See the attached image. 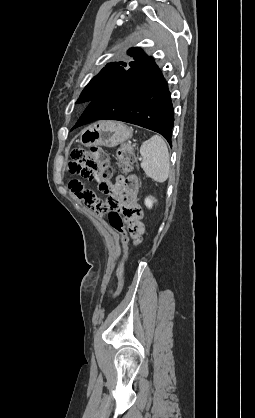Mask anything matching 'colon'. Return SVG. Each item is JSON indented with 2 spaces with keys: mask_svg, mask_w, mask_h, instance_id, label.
I'll use <instances>...</instances> for the list:
<instances>
[{
  "mask_svg": "<svg viewBox=\"0 0 255 418\" xmlns=\"http://www.w3.org/2000/svg\"><path fill=\"white\" fill-rule=\"evenodd\" d=\"M117 159L120 169L127 173L131 165L134 162V154L129 144L121 145L117 150ZM72 161L69 165V170L74 174H79L89 181L95 182L99 190L105 194H108V198L105 201H101L90 190L85 189L78 180H72L69 184L70 189L84 203L99 213H107L110 224L118 231H122L124 228H144L142 217L143 212L140 206L135 205L125 212L126 219H123L119 212L120 197L114 192L111 184L112 172L108 164L107 156L100 148L93 147L90 150L82 148L74 149L71 153ZM121 252L122 260L120 261L117 276H118V288L114 294V298L117 297L123 289V276L124 265L126 256H130L131 239L128 234L122 235Z\"/></svg>",
  "mask_w": 255,
  "mask_h": 418,
  "instance_id": "5ec220e1",
  "label": "colon"
}]
</instances>
